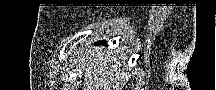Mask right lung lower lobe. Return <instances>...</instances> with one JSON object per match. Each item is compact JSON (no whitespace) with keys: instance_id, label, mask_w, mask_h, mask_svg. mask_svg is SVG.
Returning a JSON list of instances; mask_svg holds the SVG:
<instances>
[{"instance_id":"98d812e1","label":"right lung lower lobe","mask_w":216,"mask_h":90,"mask_svg":"<svg viewBox=\"0 0 216 90\" xmlns=\"http://www.w3.org/2000/svg\"><path fill=\"white\" fill-rule=\"evenodd\" d=\"M101 43H102V44H105V45L107 44L106 41L98 42L97 44H101Z\"/></svg>"}]
</instances>
